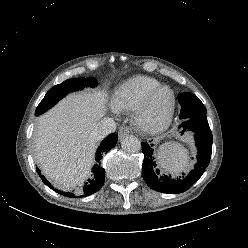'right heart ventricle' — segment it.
I'll use <instances>...</instances> for the list:
<instances>
[{"label": "right heart ventricle", "mask_w": 248, "mask_h": 248, "mask_svg": "<svg viewBox=\"0 0 248 248\" xmlns=\"http://www.w3.org/2000/svg\"><path fill=\"white\" fill-rule=\"evenodd\" d=\"M161 85L160 81L149 76L132 77L116 90L114 103L120 111H132L150 92Z\"/></svg>", "instance_id": "right-heart-ventricle-1"}]
</instances>
